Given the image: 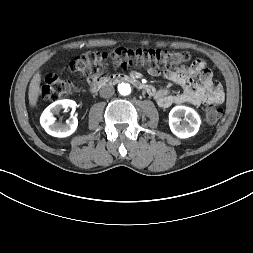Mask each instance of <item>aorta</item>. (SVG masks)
Wrapping results in <instances>:
<instances>
[{"label":"aorta","mask_w":253,"mask_h":253,"mask_svg":"<svg viewBox=\"0 0 253 253\" xmlns=\"http://www.w3.org/2000/svg\"><path fill=\"white\" fill-rule=\"evenodd\" d=\"M118 91L121 95H129L131 93V87L128 83H120L118 85Z\"/></svg>","instance_id":"aorta-1"}]
</instances>
